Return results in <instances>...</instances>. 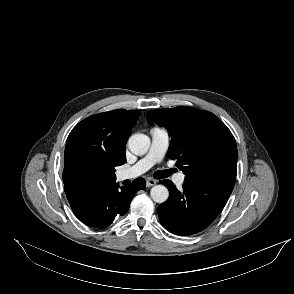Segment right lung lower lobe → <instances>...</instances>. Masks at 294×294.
I'll return each instance as SVG.
<instances>
[{
  "label": "right lung lower lobe",
  "mask_w": 294,
  "mask_h": 294,
  "mask_svg": "<svg viewBox=\"0 0 294 294\" xmlns=\"http://www.w3.org/2000/svg\"><path fill=\"white\" fill-rule=\"evenodd\" d=\"M145 187V180L137 178L129 187H121L115 181L94 188L75 185L65 189L75 216L85 225L106 228L116 216H123L129 209L136 192Z\"/></svg>",
  "instance_id": "obj_1"
}]
</instances>
